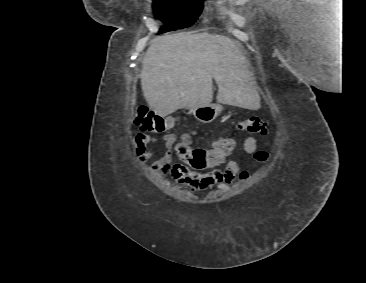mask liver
<instances>
[{"label":"liver","mask_w":366,"mask_h":283,"mask_svg":"<svg viewBox=\"0 0 366 283\" xmlns=\"http://www.w3.org/2000/svg\"><path fill=\"white\" fill-rule=\"evenodd\" d=\"M241 45L223 35L180 33L154 39L143 59L141 87L151 109L165 117L213 99L249 110L261 107Z\"/></svg>","instance_id":"obj_1"}]
</instances>
